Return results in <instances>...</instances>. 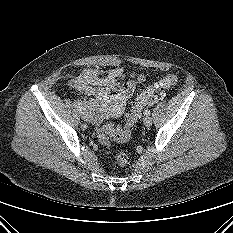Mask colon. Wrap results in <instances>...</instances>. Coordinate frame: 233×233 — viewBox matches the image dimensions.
Here are the masks:
<instances>
[{"instance_id": "obj_1", "label": "colon", "mask_w": 233, "mask_h": 233, "mask_svg": "<svg viewBox=\"0 0 233 233\" xmlns=\"http://www.w3.org/2000/svg\"><path fill=\"white\" fill-rule=\"evenodd\" d=\"M178 77L169 74L146 89L142 90L131 104L126 123L123 127H116L111 124L102 125L97 131L99 142L106 148L108 155H113L119 166L124 167L128 163V156L124 152L112 154L110 152L111 141L127 142L131 140L133 130L140 121L145 106L152 104L162 98L163 90L176 85Z\"/></svg>"}]
</instances>
